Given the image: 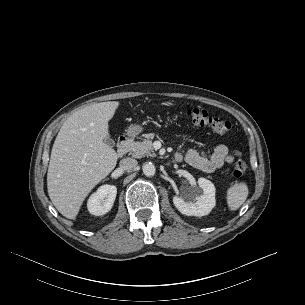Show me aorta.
<instances>
[{
	"instance_id": "762f6f07",
	"label": "aorta",
	"mask_w": 305,
	"mask_h": 305,
	"mask_svg": "<svg viewBox=\"0 0 305 305\" xmlns=\"http://www.w3.org/2000/svg\"><path fill=\"white\" fill-rule=\"evenodd\" d=\"M142 170H143L144 175H146L148 177L153 176L156 172L155 165L151 162L144 163L142 166Z\"/></svg>"
}]
</instances>
